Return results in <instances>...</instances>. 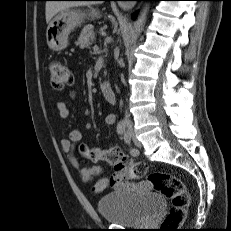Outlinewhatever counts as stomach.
I'll list each match as a JSON object with an SVG mask.
<instances>
[{"mask_svg":"<svg viewBox=\"0 0 231 231\" xmlns=\"http://www.w3.org/2000/svg\"><path fill=\"white\" fill-rule=\"evenodd\" d=\"M87 16L91 18L99 17V11L94 8H90L88 11L65 9L56 15L49 23L46 31L49 48L53 51L65 49L69 44L68 36L70 32L81 25Z\"/></svg>","mask_w":231,"mask_h":231,"instance_id":"1","label":"stomach"}]
</instances>
